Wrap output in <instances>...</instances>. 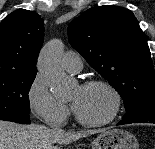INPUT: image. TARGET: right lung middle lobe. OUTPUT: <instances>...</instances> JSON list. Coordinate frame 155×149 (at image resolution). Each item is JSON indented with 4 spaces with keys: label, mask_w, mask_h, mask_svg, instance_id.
I'll return each instance as SVG.
<instances>
[{
    "label": "right lung middle lobe",
    "mask_w": 155,
    "mask_h": 149,
    "mask_svg": "<svg viewBox=\"0 0 155 149\" xmlns=\"http://www.w3.org/2000/svg\"><path fill=\"white\" fill-rule=\"evenodd\" d=\"M37 72L0 74V120L30 123L29 89Z\"/></svg>",
    "instance_id": "1"
}]
</instances>
